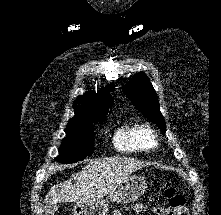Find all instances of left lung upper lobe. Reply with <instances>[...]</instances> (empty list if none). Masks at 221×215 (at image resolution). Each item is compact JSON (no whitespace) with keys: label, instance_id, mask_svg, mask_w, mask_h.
I'll return each instance as SVG.
<instances>
[{"label":"left lung upper lobe","instance_id":"obj_1","mask_svg":"<svg viewBox=\"0 0 221 215\" xmlns=\"http://www.w3.org/2000/svg\"><path fill=\"white\" fill-rule=\"evenodd\" d=\"M123 92L148 120L157 124L163 133L166 131L158 97L146 74L140 72L129 80Z\"/></svg>","mask_w":221,"mask_h":215}]
</instances>
